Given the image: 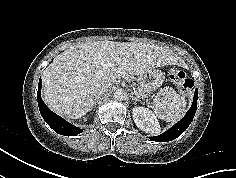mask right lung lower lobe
<instances>
[{
    "mask_svg": "<svg viewBox=\"0 0 236 178\" xmlns=\"http://www.w3.org/2000/svg\"><path fill=\"white\" fill-rule=\"evenodd\" d=\"M41 79L39 80L38 84V92H37V99H38V106L40 113L43 117V119L46 121V123L58 134L61 135H77L81 133L83 130L80 128H77L67 121H65L62 117L56 115L53 113L43 102L40 92H41Z\"/></svg>",
    "mask_w": 236,
    "mask_h": 178,
    "instance_id": "right-lung-lower-lobe-1",
    "label": "right lung lower lobe"
}]
</instances>
